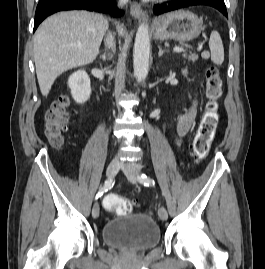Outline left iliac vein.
<instances>
[{
	"mask_svg": "<svg viewBox=\"0 0 265 269\" xmlns=\"http://www.w3.org/2000/svg\"><path fill=\"white\" fill-rule=\"evenodd\" d=\"M122 170L128 180L132 183L137 182V175L139 174V168L130 162H126L122 165ZM158 215L161 220L165 221L168 219V213L164 206H160L158 209Z\"/></svg>",
	"mask_w": 265,
	"mask_h": 269,
	"instance_id": "obj_1",
	"label": "left iliac vein"
}]
</instances>
